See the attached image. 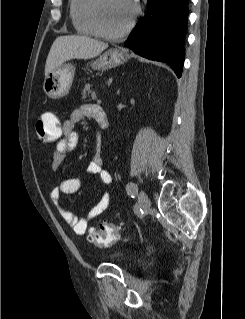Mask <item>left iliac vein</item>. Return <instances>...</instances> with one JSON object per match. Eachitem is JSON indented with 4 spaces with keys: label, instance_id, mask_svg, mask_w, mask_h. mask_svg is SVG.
I'll use <instances>...</instances> for the list:
<instances>
[{
    "label": "left iliac vein",
    "instance_id": "4c4485c4",
    "mask_svg": "<svg viewBox=\"0 0 245 319\" xmlns=\"http://www.w3.org/2000/svg\"><path fill=\"white\" fill-rule=\"evenodd\" d=\"M139 206L144 211L147 212L150 208V200L144 191H140L138 194Z\"/></svg>",
    "mask_w": 245,
    "mask_h": 319
}]
</instances>
